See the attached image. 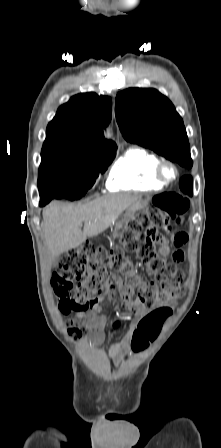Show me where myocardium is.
Returning a JSON list of instances; mask_svg holds the SVG:
<instances>
[{"instance_id":"f54148a6","label":"myocardium","mask_w":221,"mask_h":448,"mask_svg":"<svg viewBox=\"0 0 221 448\" xmlns=\"http://www.w3.org/2000/svg\"><path fill=\"white\" fill-rule=\"evenodd\" d=\"M169 167L172 169L173 171V177L168 179L165 176V169ZM155 178L163 185H169L171 183H173L178 175H179V171L177 166L170 160H161L158 162V164L155 167V172H154Z\"/></svg>"}]
</instances>
